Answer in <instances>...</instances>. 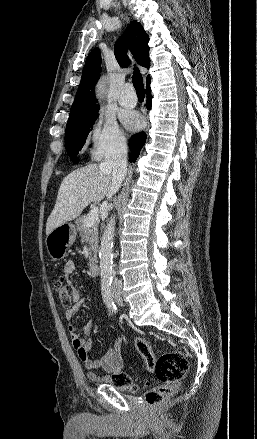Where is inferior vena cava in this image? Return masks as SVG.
I'll use <instances>...</instances> for the list:
<instances>
[{"mask_svg": "<svg viewBox=\"0 0 257 439\" xmlns=\"http://www.w3.org/2000/svg\"><path fill=\"white\" fill-rule=\"evenodd\" d=\"M104 164L112 168V186L107 195V198H111L119 190L127 172V143L125 138L116 140L110 146L105 155ZM112 287L121 288L122 282L115 278Z\"/></svg>", "mask_w": 257, "mask_h": 439, "instance_id": "inferior-vena-cava-1", "label": "inferior vena cava"}]
</instances>
